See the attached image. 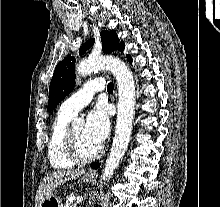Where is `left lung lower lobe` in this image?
Masks as SVG:
<instances>
[{"instance_id":"1","label":"left lung lower lobe","mask_w":220,"mask_h":207,"mask_svg":"<svg viewBox=\"0 0 220 207\" xmlns=\"http://www.w3.org/2000/svg\"><path fill=\"white\" fill-rule=\"evenodd\" d=\"M127 60L130 62V63H132V58H131V56L130 55H127ZM99 166H100V164L99 163H97L96 165H94V169H97V168H99Z\"/></svg>"}]
</instances>
